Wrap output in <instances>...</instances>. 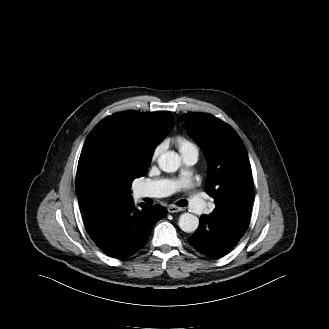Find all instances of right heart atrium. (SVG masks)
Listing matches in <instances>:
<instances>
[{
	"mask_svg": "<svg viewBox=\"0 0 329 329\" xmlns=\"http://www.w3.org/2000/svg\"><path fill=\"white\" fill-rule=\"evenodd\" d=\"M162 150H163V144H159L158 146H156L152 153V159L155 160L160 155Z\"/></svg>",
	"mask_w": 329,
	"mask_h": 329,
	"instance_id": "obj_1",
	"label": "right heart atrium"
}]
</instances>
